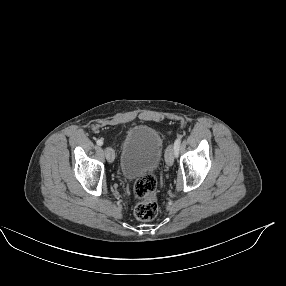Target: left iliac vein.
<instances>
[{
    "label": "left iliac vein",
    "mask_w": 286,
    "mask_h": 286,
    "mask_svg": "<svg viewBox=\"0 0 286 286\" xmlns=\"http://www.w3.org/2000/svg\"><path fill=\"white\" fill-rule=\"evenodd\" d=\"M175 158V150L172 145L168 146L165 153V161L168 166H172Z\"/></svg>",
    "instance_id": "left-iliac-vein-1"
}]
</instances>
